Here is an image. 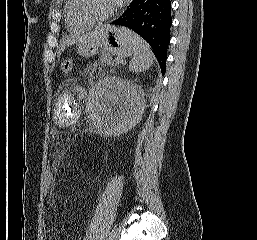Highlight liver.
<instances>
[{
    "label": "liver",
    "mask_w": 257,
    "mask_h": 240,
    "mask_svg": "<svg viewBox=\"0 0 257 240\" xmlns=\"http://www.w3.org/2000/svg\"><path fill=\"white\" fill-rule=\"evenodd\" d=\"M104 27L105 25H100L97 26L95 30L90 31L88 33L82 35H72L70 37L65 38L62 44L60 45L59 51L62 52L65 50L66 47L74 45L75 43H83L98 37L103 32Z\"/></svg>",
    "instance_id": "6515ba94"
}]
</instances>
